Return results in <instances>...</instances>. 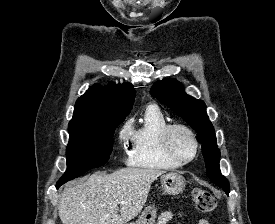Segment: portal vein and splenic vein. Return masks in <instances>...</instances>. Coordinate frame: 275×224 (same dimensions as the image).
I'll list each match as a JSON object with an SVG mask.
<instances>
[{
	"mask_svg": "<svg viewBox=\"0 0 275 224\" xmlns=\"http://www.w3.org/2000/svg\"><path fill=\"white\" fill-rule=\"evenodd\" d=\"M121 203H123V201L118 202V204H121Z\"/></svg>",
	"mask_w": 275,
	"mask_h": 224,
	"instance_id": "portal-vein-and-splenic-vein-1",
	"label": "portal vein and splenic vein"
}]
</instances>
